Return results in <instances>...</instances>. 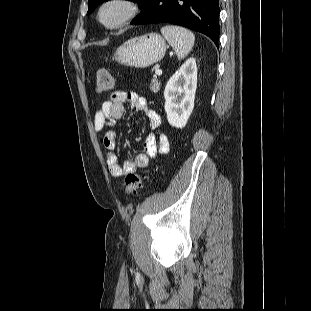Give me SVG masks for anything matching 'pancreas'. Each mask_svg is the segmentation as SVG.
<instances>
[{
	"label": "pancreas",
	"instance_id": "obj_1",
	"mask_svg": "<svg viewBox=\"0 0 311 311\" xmlns=\"http://www.w3.org/2000/svg\"><path fill=\"white\" fill-rule=\"evenodd\" d=\"M160 81L154 79L150 83V90L153 91L154 93H157L160 90Z\"/></svg>",
	"mask_w": 311,
	"mask_h": 311
}]
</instances>
